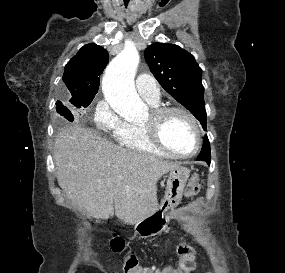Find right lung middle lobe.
I'll use <instances>...</instances> for the list:
<instances>
[{
  "mask_svg": "<svg viewBox=\"0 0 285 273\" xmlns=\"http://www.w3.org/2000/svg\"><path fill=\"white\" fill-rule=\"evenodd\" d=\"M92 100L78 101V102L70 101V102L74 106H76L77 108H80V107H87L92 102ZM56 105H57L56 110L61 116H63L64 118H66L70 122H72L74 120L73 115L70 112V110H68L65 106H63L60 101H57Z\"/></svg>",
  "mask_w": 285,
  "mask_h": 273,
  "instance_id": "right-lung-middle-lobe-1",
  "label": "right lung middle lobe"
}]
</instances>
